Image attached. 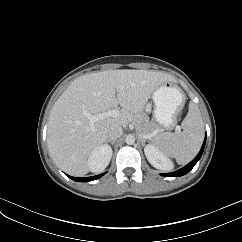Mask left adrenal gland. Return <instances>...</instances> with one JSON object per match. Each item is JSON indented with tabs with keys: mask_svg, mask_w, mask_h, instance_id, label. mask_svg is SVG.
I'll return each instance as SVG.
<instances>
[{
	"mask_svg": "<svg viewBox=\"0 0 242 242\" xmlns=\"http://www.w3.org/2000/svg\"><path fill=\"white\" fill-rule=\"evenodd\" d=\"M139 139L141 140L142 145L145 146V142H146V140H145L142 136H140Z\"/></svg>",
	"mask_w": 242,
	"mask_h": 242,
	"instance_id": "1",
	"label": "left adrenal gland"
}]
</instances>
